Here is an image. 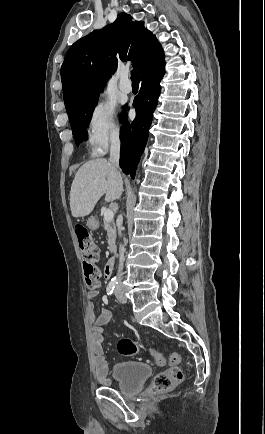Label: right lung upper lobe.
<instances>
[{"instance_id":"1","label":"right lung upper lobe","mask_w":265,"mask_h":434,"mask_svg":"<svg viewBox=\"0 0 265 434\" xmlns=\"http://www.w3.org/2000/svg\"><path fill=\"white\" fill-rule=\"evenodd\" d=\"M163 50L141 21L120 13L113 24L95 30L76 41L66 53L61 66L65 103L96 91L112 75L118 61L130 60L139 72L145 61Z\"/></svg>"}]
</instances>
